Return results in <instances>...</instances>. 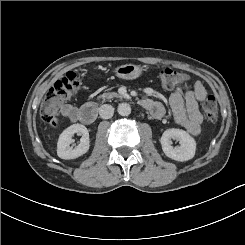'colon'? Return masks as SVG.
<instances>
[{"label":"colon","instance_id":"colon-1","mask_svg":"<svg viewBox=\"0 0 245 245\" xmlns=\"http://www.w3.org/2000/svg\"><path fill=\"white\" fill-rule=\"evenodd\" d=\"M83 77L84 73L81 70L68 72L48 89L40 106V116L45 123L51 126L58 125L60 108L78 90ZM159 78L165 89H173L185 80L182 73L171 68L161 69ZM201 108L207 119H216L218 106L214 96L204 99Z\"/></svg>","mask_w":245,"mask_h":245}]
</instances>
